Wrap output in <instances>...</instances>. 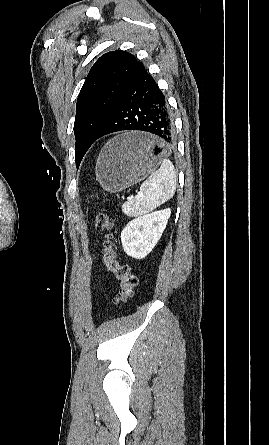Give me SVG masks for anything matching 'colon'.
<instances>
[{
    "label": "colon",
    "mask_w": 269,
    "mask_h": 445,
    "mask_svg": "<svg viewBox=\"0 0 269 445\" xmlns=\"http://www.w3.org/2000/svg\"><path fill=\"white\" fill-rule=\"evenodd\" d=\"M94 224L98 231L105 232L101 258L106 269L114 276L119 285L113 304L120 306L133 296L138 280L129 265L119 262L111 217L103 213H97L94 216Z\"/></svg>",
    "instance_id": "obj_1"
}]
</instances>
